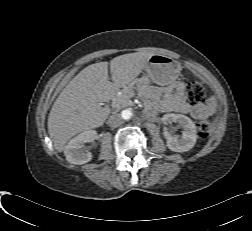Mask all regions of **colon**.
<instances>
[{"label":"colon","instance_id":"colon-1","mask_svg":"<svg viewBox=\"0 0 252 231\" xmlns=\"http://www.w3.org/2000/svg\"><path fill=\"white\" fill-rule=\"evenodd\" d=\"M205 94L200 85L190 83L187 87V100L190 104L196 105L204 101ZM198 130L202 136H206L211 130V123L208 119H201L198 122Z\"/></svg>","mask_w":252,"mask_h":231}]
</instances>
